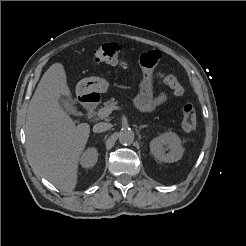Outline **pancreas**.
I'll return each instance as SVG.
<instances>
[{
    "label": "pancreas",
    "mask_w": 246,
    "mask_h": 246,
    "mask_svg": "<svg viewBox=\"0 0 246 246\" xmlns=\"http://www.w3.org/2000/svg\"><path fill=\"white\" fill-rule=\"evenodd\" d=\"M117 104H118V101L112 98L111 100L104 102V108L115 107Z\"/></svg>",
    "instance_id": "1"
}]
</instances>
